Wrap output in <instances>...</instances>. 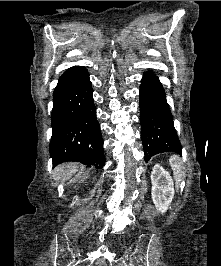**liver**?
<instances>
[{
  "instance_id": "6515ba94",
  "label": "liver",
  "mask_w": 221,
  "mask_h": 266,
  "mask_svg": "<svg viewBox=\"0 0 221 266\" xmlns=\"http://www.w3.org/2000/svg\"><path fill=\"white\" fill-rule=\"evenodd\" d=\"M79 169L78 163H65L57 166L53 176L56 181L64 182L70 179Z\"/></svg>"
}]
</instances>
